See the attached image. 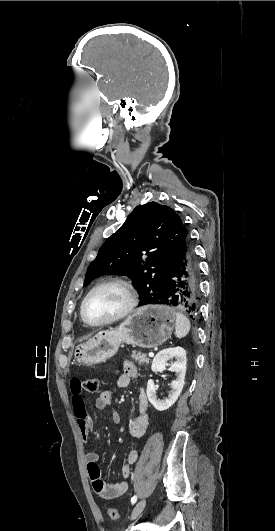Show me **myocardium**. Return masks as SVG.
I'll use <instances>...</instances> for the list:
<instances>
[{
    "mask_svg": "<svg viewBox=\"0 0 275 531\" xmlns=\"http://www.w3.org/2000/svg\"><path fill=\"white\" fill-rule=\"evenodd\" d=\"M107 286H118L125 292L126 297H127L126 307L124 308L123 311H121L117 315H115V316H113V317H111V318H109L107 320H104V321H101V322H90V321H88L85 318V315H84V304H85L86 300L94 292H96L97 290H99L101 288L107 287ZM136 298H137L136 292H135L133 286L131 285V283L128 282L127 280H125L123 278H120V277H112V278L106 279V280L101 281L98 284H96L83 297V299L81 300V303H80V317H81L82 321L85 324H87L89 326H92V327H102V326H107V325L113 324L115 322H118V321L126 318L133 311V309H134V307L136 305Z\"/></svg>",
    "mask_w": 275,
    "mask_h": 531,
    "instance_id": "1",
    "label": "myocardium"
}]
</instances>
